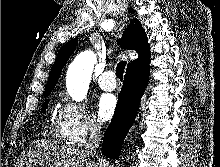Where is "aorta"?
Here are the masks:
<instances>
[{
  "instance_id": "1",
  "label": "aorta",
  "mask_w": 220,
  "mask_h": 167,
  "mask_svg": "<svg viewBox=\"0 0 220 167\" xmlns=\"http://www.w3.org/2000/svg\"><path fill=\"white\" fill-rule=\"evenodd\" d=\"M96 61V55L87 51L79 54L70 64L66 84L73 100L80 102L85 99Z\"/></svg>"
}]
</instances>
